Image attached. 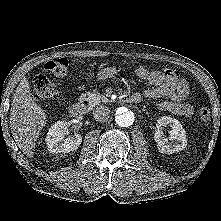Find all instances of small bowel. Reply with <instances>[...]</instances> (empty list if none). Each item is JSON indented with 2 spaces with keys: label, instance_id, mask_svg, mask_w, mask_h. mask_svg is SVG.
Returning <instances> with one entry per match:
<instances>
[{
  "label": "small bowel",
  "instance_id": "obj_1",
  "mask_svg": "<svg viewBox=\"0 0 221 221\" xmlns=\"http://www.w3.org/2000/svg\"><path fill=\"white\" fill-rule=\"evenodd\" d=\"M118 70L115 67H106L97 72L95 79L105 81L115 77ZM136 74L141 79L152 85V88L144 92L148 99L167 98L159 104V109L171 112L182 117H191L193 107L188 103V83L178 77L169 69L162 71H149L145 68L136 69Z\"/></svg>",
  "mask_w": 221,
  "mask_h": 221
}]
</instances>
